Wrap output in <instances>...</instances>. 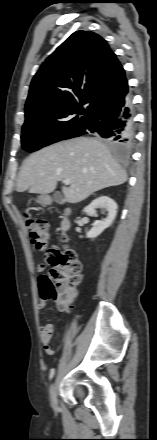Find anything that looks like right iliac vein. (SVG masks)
<instances>
[{
    "mask_svg": "<svg viewBox=\"0 0 157 440\" xmlns=\"http://www.w3.org/2000/svg\"><path fill=\"white\" fill-rule=\"evenodd\" d=\"M50 398H51V404H52V406H53L54 408H56V407H57V393H56V385H55V384H53V385L51 386V389H50Z\"/></svg>",
    "mask_w": 157,
    "mask_h": 440,
    "instance_id": "1",
    "label": "right iliac vein"
}]
</instances>
